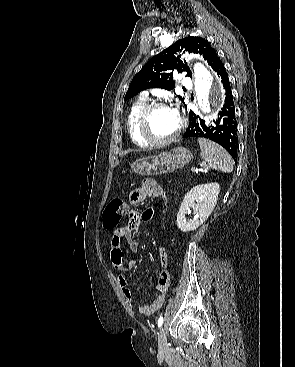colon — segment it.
<instances>
[{
	"instance_id": "1",
	"label": "colon",
	"mask_w": 295,
	"mask_h": 367,
	"mask_svg": "<svg viewBox=\"0 0 295 367\" xmlns=\"http://www.w3.org/2000/svg\"><path fill=\"white\" fill-rule=\"evenodd\" d=\"M161 207L159 208L162 212H167L169 207L167 206L170 201L169 195L158 196L156 198ZM148 211L150 212L147 216H152L157 208L151 203ZM128 210L127 203L122 197H114L106 206L103 213V225L106 229H114L118 226L122 217Z\"/></svg>"
}]
</instances>
